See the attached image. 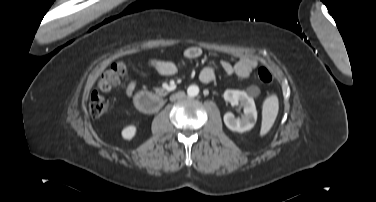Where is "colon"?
Here are the masks:
<instances>
[{"instance_id":"obj_1","label":"colon","mask_w":376,"mask_h":202,"mask_svg":"<svg viewBox=\"0 0 376 202\" xmlns=\"http://www.w3.org/2000/svg\"><path fill=\"white\" fill-rule=\"evenodd\" d=\"M127 65L123 62L112 64L107 71L103 73L98 81V89L102 92H108L119 84L120 77L127 73ZM257 77L260 82L268 84L272 81L271 72L265 68L260 67L257 70ZM109 106L108 100L97 92H93L89 101L90 114L93 117H100L103 115Z\"/></svg>"}]
</instances>
